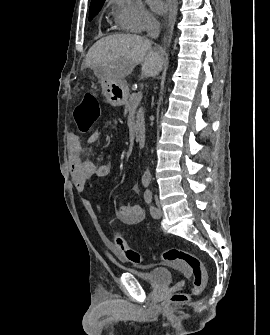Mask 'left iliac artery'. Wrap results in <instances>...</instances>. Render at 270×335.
Returning a JSON list of instances; mask_svg holds the SVG:
<instances>
[{"label": "left iliac artery", "mask_w": 270, "mask_h": 335, "mask_svg": "<svg viewBox=\"0 0 270 335\" xmlns=\"http://www.w3.org/2000/svg\"><path fill=\"white\" fill-rule=\"evenodd\" d=\"M145 202L149 205L150 214L154 217L157 213L156 207L152 204V193L146 190L144 193Z\"/></svg>", "instance_id": "obj_1"}]
</instances>
